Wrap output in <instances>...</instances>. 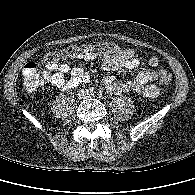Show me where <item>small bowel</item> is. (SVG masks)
Listing matches in <instances>:
<instances>
[{
	"label": "small bowel",
	"mask_w": 195,
	"mask_h": 195,
	"mask_svg": "<svg viewBox=\"0 0 195 195\" xmlns=\"http://www.w3.org/2000/svg\"><path fill=\"white\" fill-rule=\"evenodd\" d=\"M97 55L93 53L79 54L78 60L91 62L96 59ZM141 61L136 57L133 49H120L115 53L105 54L102 61V68L106 71H116L122 68L135 69L139 67ZM159 60L152 56L148 59V65L151 69L140 71L134 78L124 82H118L113 75H106L102 82L107 91L111 94L135 93L145 97H154L158 94L157 86L151 84L163 75L165 70H155ZM52 71L48 78L52 85L61 90H67L77 87L80 84L88 83L90 76L80 68H71L66 63H60L48 67ZM69 75V78H65Z\"/></svg>",
	"instance_id": "c3829d8e"
}]
</instances>
